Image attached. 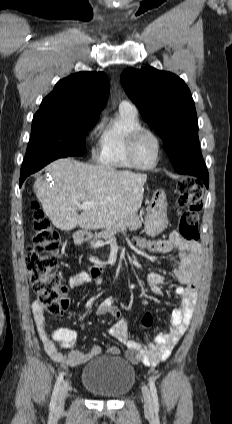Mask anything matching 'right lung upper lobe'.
<instances>
[{
  "label": "right lung upper lobe",
  "instance_id": "1",
  "mask_svg": "<svg viewBox=\"0 0 232 424\" xmlns=\"http://www.w3.org/2000/svg\"><path fill=\"white\" fill-rule=\"evenodd\" d=\"M109 79L103 72H78L60 80L42 100L39 110L77 109L99 117L109 94Z\"/></svg>",
  "mask_w": 232,
  "mask_h": 424
}]
</instances>
